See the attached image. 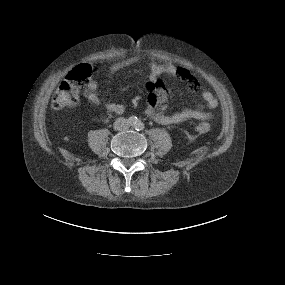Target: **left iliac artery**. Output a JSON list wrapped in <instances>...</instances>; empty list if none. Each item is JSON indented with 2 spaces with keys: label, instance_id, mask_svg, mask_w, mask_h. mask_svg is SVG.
I'll list each match as a JSON object with an SVG mask.
<instances>
[{
  "label": "left iliac artery",
  "instance_id": "left-iliac-artery-1",
  "mask_svg": "<svg viewBox=\"0 0 285 285\" xmlns=\"http://www.w3.org/2000/svg\"><path fill=\"white\" fill-rule=\"evenodd\" d=\"M136 130L140 131L144 129V124L141 121H138L135 125Z\"/></svg>",
  "mask_w": 285,
  "mask_h": 285
}]
</instances>
